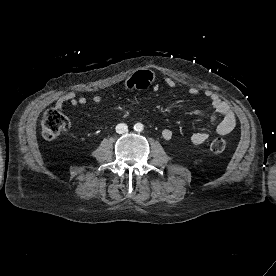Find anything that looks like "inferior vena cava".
<instances>
[{
	"label": "inferior vena cava",
	"mask_w": 276,
	"mask_h": 276,
	"mask_svg": "<svg viewBox=\"0 0 276 276\" xmlns=\"http://www.w3.org/2000/svg\"><path fill=\"white\" fill-rule=\"evenodd\" d=\"M128 131V126L125 123H119L116 126V132L118 134H123Z\"/></svg>",
	"instance_id": "obj_1"
}]
</instances>
